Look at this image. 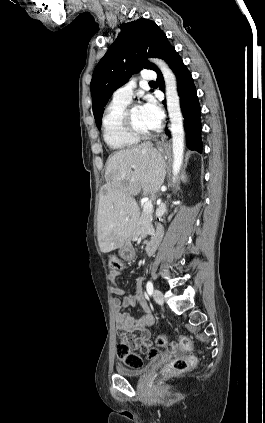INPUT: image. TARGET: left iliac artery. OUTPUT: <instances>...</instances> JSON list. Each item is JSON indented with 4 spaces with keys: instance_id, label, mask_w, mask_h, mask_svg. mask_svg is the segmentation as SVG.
<instances>
[{
    "instance_id": "obj_1",
    "label": "left iliac artery",
    "mask_w": 265,
    "mask_h": 423,
    "mask_svg": "<svg viewBox=\"0 0 265 423\" xmlns=\"http://www.w3.org/2000/svg\"><path fill=\"white\" fill-rule=\"evenodd\" d=\"M146 290H147V293L151 296L153 293V284L151 281L147 282Z\"/></svg>"
}]
</instances>
